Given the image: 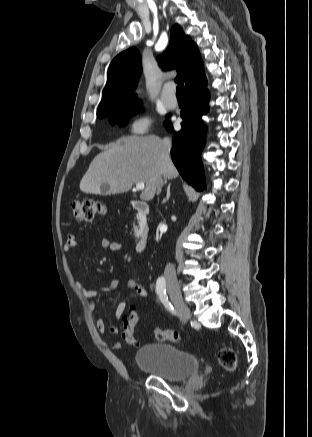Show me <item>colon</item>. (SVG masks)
<instances>
[{"label": "colon", "instance_id": "colon-1", "mask_svg": "<svg viewBox=\"0 0 312 437\" xmlns=\"http://www.w3.org/2000/svg\"><path fill=\"white\" fill-rule=\"evenodd\" d=\"M107 212L106 206L95 199H75L70 202V217L78 221H91L98 216H103ZM139 313L131 310L123 318L122 338L125 343L136 346L138 344L135 337V327L139 319ZM154 336L159 341H182L179 332L175 330H162L154 328ZM218 361L227 371L233 372L237 367V357L235 352L228 347H223L218 351Z\"/></svg>", "mask_w": 312, "mask_h": 437}]
</instances>
